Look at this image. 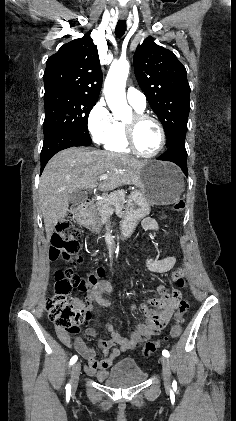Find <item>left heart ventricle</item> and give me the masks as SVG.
<instances>
[{"label": "left heart ventricle", "instance_id": "obj_1", "mask_svg": "<svg viewBox=\"0 0 236 421\" xmlns=\"http://www.w3.org/2000/svg\"><path fill=\"white\" fill-rule=\"evenodd\" d=\"M131 117L127 120H130ZM133 137L137 148L143 153H153L158 147V129L155 124L148 120L138 121L133 124Z\"/></svg>", "mask_w": 236, "mask_h": 421}]
</instances>
